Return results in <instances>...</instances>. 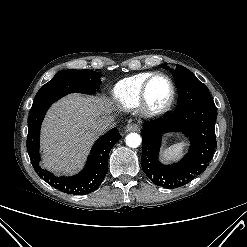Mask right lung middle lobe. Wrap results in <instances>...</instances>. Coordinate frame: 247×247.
Wrapping results in <instances>:
<instances>
[{
  "label": "right lung middle lobe",
  "mask_w": 247,
  "mask_h": 247,
  "mask_svg": "<svg viewBox=\"0 0 247 247\" xmlns=\"http://www.w3.org/2000/svg\"><path fill=\"white\" fill-rule=\"evenodd\" d=\"M101 74L92 70H62L37 92L31 111L51 105L61 97L80 92L95 94L99 88Z\"/></svg>",
  "instance_id": "obj_1"
}]
</instances>
